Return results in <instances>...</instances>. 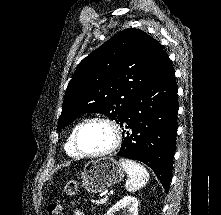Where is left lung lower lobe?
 I'll return each mask as SVG.
<instances>
[{"label": "left lung lower lobe", "instance_id": "0a47b994", "mask_svg": "<svg viewBox=\"0 0 221 215\" xmlns=\"http://www.w3.org/2000/svg\"><path fill=\"white\" fill-rule=\"evenodd\" d=\"M177 114L175 72L167 57L137 93L121 120L120 125L130 128V131L117 153L148 165L166 193L172 174Z\"/></svg>", "mask_w": 221, "mask_h": 215}]
</instances>
